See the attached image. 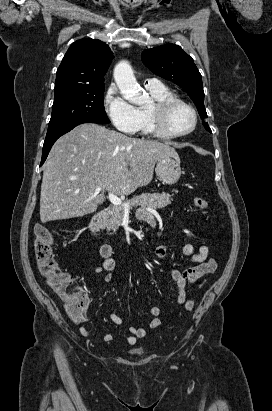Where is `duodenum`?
<instances>
[{
	"label": "duodenum",
	"mask_w": 272,
	"mask_h": 411,
	"mask_svg": "<svg viewBox=\"0 0 272 411\" xmlns=\"http://www.w3.org/2000/svg\"><path fill=\"white\" fill-rule=\"evenodd\" d=\"M111 213L110 208H104L101 211H99L94 218L91 220L89 228L91 233L98 239H103L104 238V233H103V224L105 220L109 217Z\"/></svg>",
	"instance_id": "duodenum-1"
}]
</instances>
